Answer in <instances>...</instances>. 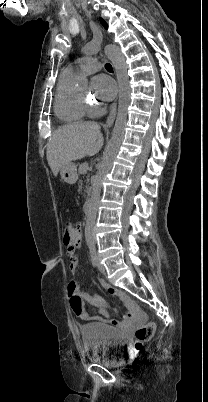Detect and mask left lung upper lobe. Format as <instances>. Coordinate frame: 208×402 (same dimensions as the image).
Listing matches in <instances>:
<instances>
[{"mask_svg":"<svg viewBox=\"0 0 208 402\" xmlns=\"http://www.w3.org/2000/svg\"><path fill=\"white\" fill-rule=\"evenodd\" d=\"M102 23H103V25L105 26V28H107V25H106V23H105L104 21H102Z\"/></svg>","mask_w":208,"mask_h":402,"instance_id":"obj_1","label":"left lung upper lobe"}]
</instances>
